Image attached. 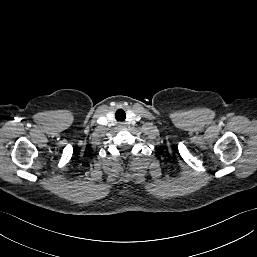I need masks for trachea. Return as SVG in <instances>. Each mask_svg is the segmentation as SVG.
<instances>
[{
	"label": "trachea",
	"instance_id": "3493384b",
	"mask_svg": "<svg viewBox=\"0 0 257 257\" xmlns=\"http://www.w3.org/2000/svg\"><path fill=\"white\" fill-rule=\"evenodd\" d=\"M115 118L117 121H123L125 119V113L123 110H118L115 114Z\"/></svg>",
	"mask_w": 257,
	"mask_h": 257
}]
</instances>
